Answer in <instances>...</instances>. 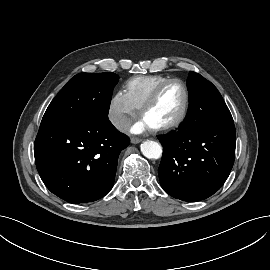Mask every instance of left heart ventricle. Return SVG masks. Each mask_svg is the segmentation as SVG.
<instances>
[{"label": "left heart ventricle", "instance_id": "b2bd125f", "mask_svg": "<svg viewBox=\"0 0 270 270\" xmlns=\"http://www.w3.org/2000/svg\"><path fill=\"white\" fill-rule=\"evenodd\" d=\"M184 102V89L179 83L168 85L159 95L156 102L143 115L150 126L155 127L164 124L174 118Z\"/></svg>", "mask_w": 270, "mask_h": 270}]
</instances>
